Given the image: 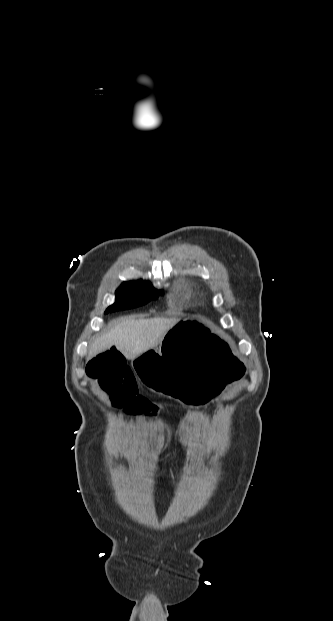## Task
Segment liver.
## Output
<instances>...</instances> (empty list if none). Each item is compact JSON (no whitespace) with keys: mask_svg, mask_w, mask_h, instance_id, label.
<instances>
[{"mask_svg":"<svg viewBox=\"0 0 333 621\" xmlns=\"http://www.w3.org/2000/svg\"><path fill=\"white\" fill-rule=\"evenodd\" d=\"M175 318L135 320L123 317L113 321L108 330L97 336L88 360L115 346L128 360H133L149 349L157 347L166 333L175 326Z\"/></svg>","mask_w":333,"mask_h":621,"instance_id":"6515ba94","label":"liver"}]
</instances>
